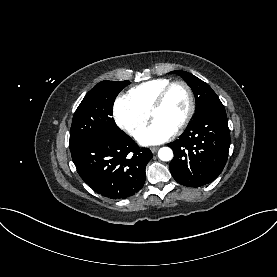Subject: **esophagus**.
<instances>
[{
  "label": "esophagus",
  "instance_id": "1",
  "mask_svg": "<svg viewBox=\"0 0 277 277\" xmlns=\"http://www.w3.org/2000/svg\"><path fill=\"white\" fill-rule=\"evenodd\" d=\"M158 149H159V147H151L150 148L152 153H155Z\"/></svg>",
  "mask_w": 277,
  "mask_h": 277
}]
</instances>
